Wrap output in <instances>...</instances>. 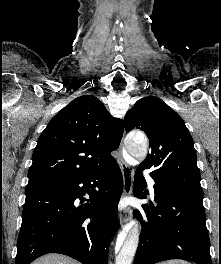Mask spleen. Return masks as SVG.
Listing matches in <instances>:
<instances>
[{
  "mask_svg": "<svg viewBox=\"0 0 221 264\" xmlns=\"http://www.w3.org/2000/svg\"><path fill=\"white\" fill-rule=\"evenodd\" d=\"M159 264H190V263H188L187 261H183V260H170V261L159 263Z\"/></svg>",
  "mask_w": 221,
  "mask_h": 264,
  "instance_id": "3e777b00",
  "label": "spleen"
}]
</instances>
